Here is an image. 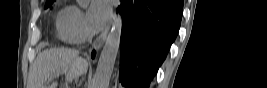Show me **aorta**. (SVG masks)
Segmentation results:
<instances>
[{
	"label": "aorta",
	"mask_w": 267,
	"mask_h": 88,
	"mask_svg": "<svg viewBox=\"0 0 267 88\" xmlns=\"http://www.w3.org/2000/svg\"><path fill=\"white\" fill-rule=\"evenodd\" d=\"M80 5L86 6L89 0H77ZM122 30V19L118 17L113 21L104 47L99 57L98 66L93 78L91 88H107L109 85L112 70L115 64L120 45Z\"/></svg>",
	"instance_id": "obj_1"
}]
</instances>
